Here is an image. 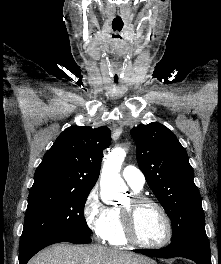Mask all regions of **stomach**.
<instances>
[{"mask_svg":"<svg viewBox=\"0 0 221 264\" xmlns=\"http://www.w3.org/2000/svg\"><path fill=\"white\" fill-rule=\"evenodd\" d=\"M150 264H156V263H154V262L151 261Z\"/></svg>","mask_w":221,"mask_h":264,"instance_id":"stomach-1","label":"stomach"}]
</instances>
